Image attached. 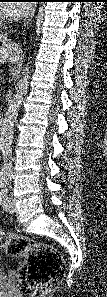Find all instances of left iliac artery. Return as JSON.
Returning a JSON list of instances; mask_svg holds the SVG:
<instances>
[{
    "mask_svg": "<svg viewBox=\"0 0 107 297\" xmlns=\"http://www.w3.org/2000/svg\"><path fill=\"white\" fill-rule=\"evenodd\" d=\"M7 190H2L0 192V202L3 204V207L4 205L6 204V200H7Z\"/></svg>",
    "mask_w": 107,
    "mask_h": 297,
    "instance_id": "1",
    "label": "left iliac artery"
}]
</instances>
